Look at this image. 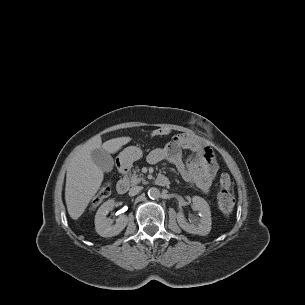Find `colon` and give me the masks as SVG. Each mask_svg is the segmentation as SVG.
I'll use <instances>...</instances> for the list:
<instances>
[{
  "mask_svg": "<svg viewBox=\"0 0 305 305\" xmlns=\"http://www.w3.org/2000/svg\"><path fill=\"white\" fill-rule=\"evenodd\" d=\"M170 132L168 128H158L152 132V136L158 137L166 135ZM220 191L217 197V206L219 210L224 214H230L235 206V199L232 194L231 179L227 174H223L219 180ZM110 194V184L105 183L95 194L91 208H95L100 202L107 198Z\"/></svg>",
  "mask_w": 305,
  "mask_h": 305,
  "instance_id": "colon-1",
  "label": "colon"
}]
</instances>
